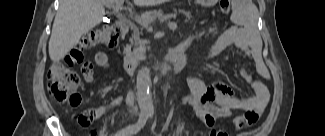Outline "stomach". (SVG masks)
Wrapping results in <instances>:
<instances>
[{
    "instance_id": "stomach-1",
    "label": "stomach",
    "mask_w": 325,
    "mask_h": 136,
    "mask_svg": "<svg viewBox=\"0 0 325 136\" xmlns=\"http://www.w3.org/2000/svg\"><path fill=\"white\" fill-rule=\"evenodd\" d=\"M214 2H216V1L215 0H203V1H200V3L207 4V5L212 4Z\"/></svg>"
}]
</instances>
